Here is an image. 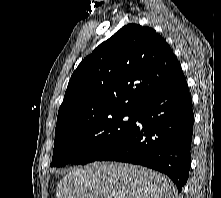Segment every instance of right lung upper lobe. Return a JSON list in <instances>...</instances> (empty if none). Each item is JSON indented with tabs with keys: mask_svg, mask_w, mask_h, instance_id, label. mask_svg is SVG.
<instances>
[{
	"mask_svg": "<svg viewBox=\"0 0 221 198\" xmlns=\"http://www.w3.org/2000/svg\"><path fill=\"white\" fill-rule=\"evenodd\" d=\"M183 75L166 41L150 27L128 24L100 44L71 76L55 137L116 113H134Z\"/></svg>",
	"mask_w": 221,
	"mask_h": 198,
	"instance_id": "1",
	"label": "right lung upper lobe"
}]
</instances>
